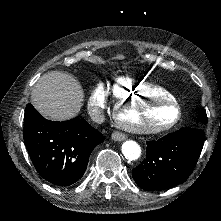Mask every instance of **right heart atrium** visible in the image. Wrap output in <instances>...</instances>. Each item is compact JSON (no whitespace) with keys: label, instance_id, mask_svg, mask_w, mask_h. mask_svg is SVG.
I'll return each instance as SVG.
<instances>
[{"label":"right heart atrium","instance_id":"obj_1","mask_svg":"<svg viewBox=\"0 0 221 221\" xmlns=\"http://www.w3.org/2000/svg\"><path fill=\"white\" fill-rule=\"evenodd\" d=\"M114 82L107 80L102 82L96 87L95 93V105L96 106H106L112 100L114 95Z\"/></svg>","mask_w":221,"mask_h":221}]
</instances>
